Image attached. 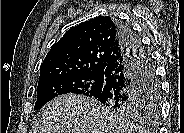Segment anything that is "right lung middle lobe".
Returning a JSON list of instances; mask_svg holds the SVG:
<instances>
[{
    "label": "right lung middle lobe",
    "mask_w": 184,
    "mask_h": 133,
    "mask_svg": "<svg viewBox=\"0 0 184 133\" xmlns=\"http://www.w3.org/2000/svg\"><path fill=\"white\" fill-rule=\"evenodd\" d=\"M151 81V87L146 95V99L133 104L130 103L108 106V108L125 115L156 116L160 106V88L154 74L153 66ZM103 85L104 76L101 74L64 77L50 81L42 87L37 88L38 96L34 109L37 110L53 98L67 93L83 94L86 96L95 97L101 92Z\"/></svg>",
    "instance_id": "right-lung-middle-lobe-1"
}]
</instances>
